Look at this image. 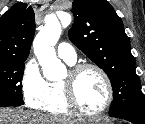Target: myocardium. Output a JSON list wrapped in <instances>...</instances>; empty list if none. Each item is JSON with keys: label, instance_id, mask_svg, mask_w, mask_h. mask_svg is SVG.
Returning <instances> with one entry per match:
<instances>
[{"label": "myocardium", "instance_id": "1", "mask_svg": "<svg viewBox=\"0 0 145 124\" xmlns=\"http://www.w3.org/2000/svg\"><path fill=\"white\" fill-rule=\"evenodd\" d=\"M85 70H95L102 77L106 86L107 91L106 100L104 104L95 111L85 110L79 103L75 92V80ZM62 84L64 87L65 98L70 109L80 116L84 117L100 116L107 111V109L111 106L114 99L113 84L109 75L102 67L93 63H80L73 65L68 73L67 78L62 81Z\"/></svg>", "mask_w": 145, "mask_h": 124}]
</instances>
